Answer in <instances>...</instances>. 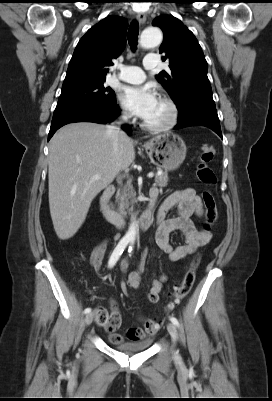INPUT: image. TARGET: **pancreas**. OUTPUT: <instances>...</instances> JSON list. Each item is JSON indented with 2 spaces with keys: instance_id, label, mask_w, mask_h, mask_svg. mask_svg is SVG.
I'll return each mask as SVG.
<instances>
[{
  "instance_id": "obj_1",
  "label": "pancreas",
  "mask_w": 272,
  "mask_h": 401,
  "mask_svg": "<svg viewBox=\"0 0 272 401\" xmlns=\"http://www.w3.org/2000/svg\"><path fill=\"white\" fill-rule=\"evenodd\" d=\"M168 184V174L167 172H163L160 175L155 176V185L159 187H166ZM136 192L133 189V186L128 183L121 190L118 191L116 195V202L119 205V212L122 215L126 214V209H128L130 204H134L136 202Z\"/></svg>"
}]
</instances>
